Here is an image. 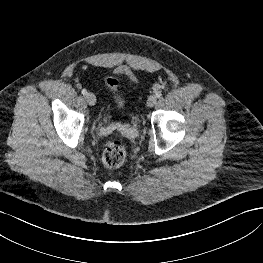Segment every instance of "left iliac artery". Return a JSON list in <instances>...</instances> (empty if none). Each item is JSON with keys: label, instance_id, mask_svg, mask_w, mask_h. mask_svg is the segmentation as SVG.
<instances>
[{"label": "left iliac artery", "instance_id": "left-iliac-artery-1", "mask_svg": "<svg viewBox=\"0 0 263 263\" xmlns=\"http://www.w3.org/2000/svg\"><path fill=\"white\" fill-rule=\"evenodd\" d=\"M155 96H156L157 98H160V97L162 96L161 91L156 92V93H155Z\"/></svg>", "mask_w": 263, "mask_h": 263}]
</instances>
